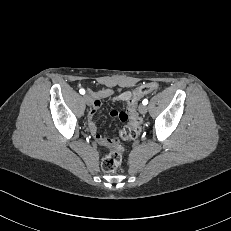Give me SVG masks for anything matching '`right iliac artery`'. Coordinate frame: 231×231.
Masks as SVG:
<instances>
[{"mask_svg": "<svg viewBox=\"0 0 231 231\" xmlns=\"http://www.w3.org/2000/svg\"><path fill=\"white\" fill-rule=\"evenodd\" d=\"M79 92H80V94H85V90L84 89H80Z\"/></svg>", "mask_w": 231, "mask_h": 231, "instance_id": "82829eb1", "label": "right iliac artery"}]
</instances>
